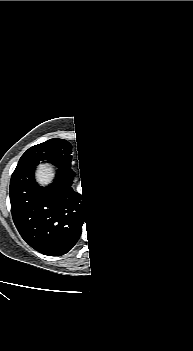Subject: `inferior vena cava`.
I'll list each match as a JSON object with an SVG mask.
<instances>
[{"label":"inferior vena cava","instance_id":"1","mask_svg":"<svg viewBox=\"0 0 193 351\" xmlns=\"http://www.w3.org/2000/svg\"><path fill=\"white\" fill-rule=\"evenodd\" d=\"M77 192L82 194V186L81 185L77 186Z\"/></svg>","mask_w":193,"mask_h":351}]
</instances>
